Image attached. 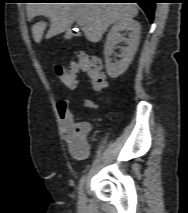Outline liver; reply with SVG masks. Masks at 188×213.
<instances>
[{
    "mask_svg": "<svg viewBox=\"0 0 188 213\" xmlns=\"http://www.w3.org/2000/svg\"><path fill=\"white\" fill-rule=\"evenodd\" d=\"M137 14L138 8L135 3H28L27 5L29 21L38 15L49 19L47 39L67 31L74 22H77L82 26L89 41L98 42L111 24L132 19ZM46 27V22H38L32 26V35L36 43L41 42Z\"/></svg>",
    "mask_w": 188,
    "mask_h": 213,
    "instance_id": "6515ba94",
    "label": "liver"
}]
</instances>
